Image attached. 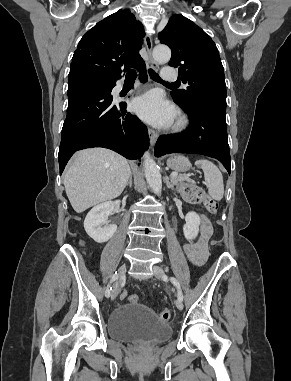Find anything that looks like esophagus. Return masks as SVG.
I'll list each match as a JSON object with an SVG mask.
<instances>
[{"instance_id":"34e87169","label":"esophagus","mask_w":291,"mask_h":381,"mask_svg":"<svg viewBox=\"0 0 291 381\" xmlns=\"http://www.w3.org/2000/svg\"><path fill=\"white\" fill-rule=\"evenodd\" d=\"M144 43H145V47H146L147 54H148L147 67L157 70L158 64L152 58V45L153 44H152L151 35H149V34L145 35ZM148 134H149L151 145H154L158 139V136H159L158 133L155 130L149 128Z\"/></svg>"}]
</instances>
